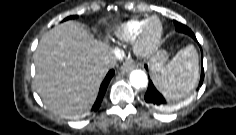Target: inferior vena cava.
<instances>
[{
    "label": "inferior vena cava",
    "mask_w": 236,
    "mask_h": 135,
    "mask_svg": "<svg viewBox=\"0 0 236 135\" xmlns=\"http://www.w3.org/2000/svg\"><path fill=\"white\" fill-rule=\"evenodd\" d=\"M115 65H116V60L113 57H110L105 61V67L107 70L113 68Z\"/></svg>",
    "instance_id": "1"
}]
</instances>
